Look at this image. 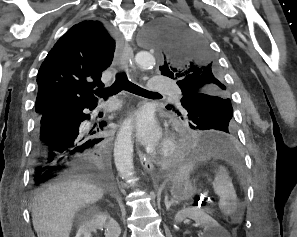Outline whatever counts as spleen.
Wrapping results in <instances>:
<instances>
[{
  "label": "spleen",
  "mask_w": 297,
  "mask_h": 237,
  "mask_svg": "<svg viewBox=\"0 0 297 237\" xmlns=\"http://www.w3.org/2000/svg\"><path fill=\"white\" fill-rule=\"evenodd\" d=\"M197 161L191 160L184 164L178 171L176 178L189 177L190 173L196 168ZM215 194L220 198L219 209L224 215L230 216L235 213L237 208V195L227 171L219 167L212 182Z\"/></svg>",
  "instance_id": "spleen-1"
}]
</instances>
